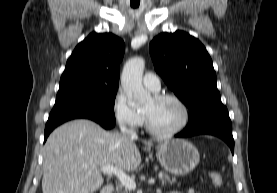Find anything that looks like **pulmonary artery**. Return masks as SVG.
I'll list each match as a JSON object with an SVG mask.
<instances>
[{
    "label": "pulmonary artery",
    "mask_w": 277,
    "mask_h": 193,
    "mask_svg": "<svg viewBox=\"0 0 277 193\" xmlns=\"http://www.w3.org/2000/svg\"><path fill=\"white\" fill-rule=\"evenodd\" d=\"M142 82L144 86H146L148 89H150L153 92H157L160 90L161 83L159 77L152 73V72H146L142 78Z\"/></svg>",
    "instance_id": "e3ab8cb5"
}]
</instances>
